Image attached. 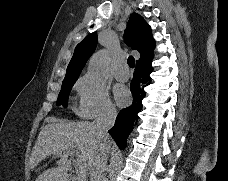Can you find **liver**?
Here are the masks:
<instances>
[{
	"instance_id": "obj_1",
	"label": "liver",
	"mask_w": 228,
	"mask_h": 181,
	"mask_svg": "<svg viewBox=\"0 0 228 181\" xmlns=\"http://www.w3.org/2000/svg\"><path fill=\"white\" fill-rule=\"evenodd\" d=\"M37 141L33 147L30 157V167L34 171L41 161L48 159L51 155L61 157L56 161V169H47L39 175L36 181H67L68 171L72 165V159H68L67 151H78V165L90 167L96 153L104 147L101 139H98L94 123H68L55 117H48ZM109 147L112 145L109 137L106 141Z\"/></svg>"
}]
</instances>
